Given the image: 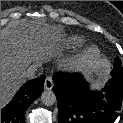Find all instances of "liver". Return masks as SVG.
Wrapping results in <instances>:
<instances>
[{
    "mask_svg": "<svg viewBox=\"0 0 123 123\" xmlns=\"http://www.w3.org/2000/svg\"><path fill=\"white\" fill-rule=\"evenodd\" d=\"M62 30L42 20H16L1 30V108L26 81L31 63L41 65L61 54Z\"/></svg>",
    "mask_w": 123,
    "mask_h": 123,
    "instance_id": "6515ba94",
    "label": "liver"
}]
</instances>
